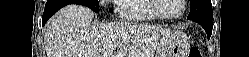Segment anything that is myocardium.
Returning <instances> with one entry per match:
<instances>
[{
  "label": "myocardium",
  "mask_w": 249,
  "mask_h": 57,
  "mask_svg": "<svg viewBox=\"0 0 249 57\" xmlns=\"http://www.w3.org/2000/svg\"><path fill=\"white\" fill-rule=\"evenodd\" d=\"M181 1V10L179 13L171 14V15H165L159 11V3L160 0H150V6L154 14L163 20H174L180 18L186 11V0H180Z\"/></svg>",
  "instance_id": "myocardium-1"
}]
</instances>
